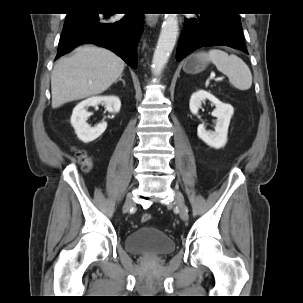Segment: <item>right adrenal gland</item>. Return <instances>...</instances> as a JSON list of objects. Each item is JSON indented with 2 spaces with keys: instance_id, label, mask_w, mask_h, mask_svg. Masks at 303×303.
I'll use <instances>...</instances> for the list:
<instances>
[{
  "instance_id": "obj_1",
  "label": "right adrenal gland",
  "mask_w": 303,
  "mask_h": 303,
  "mask_svg": "<svg viewBox=\"0 0 303 303\" xmlns=\"http://www.w3.org/2000/svg\"><path fill=\"white\" fill-rule=\"evenodd\" d=\"M118 81H122L123 85L125 86V81L122 79V75L119 76V79L115 81L117 83Z\"/></svg>"
}]
</instances>
